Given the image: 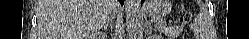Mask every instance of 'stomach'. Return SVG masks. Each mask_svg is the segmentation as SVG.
Segmentation results:
<instances>
[{
  "label": "stomach",
  "instance_id": "0dacf381",
  "mask_svg": "<svg viewBox=\"0 0 249 39\" xmlns=\"http://www.w3.org/2000/svg\"><path fill=\"white\" fill-rule=\"evenodd\" d=\"M172 4L167 0H149L145 3V12L155 19L161 21L171 11Z\"/></svg>",
  "mask_w": 249,
  "mask_h": 39
}]
</instances>
